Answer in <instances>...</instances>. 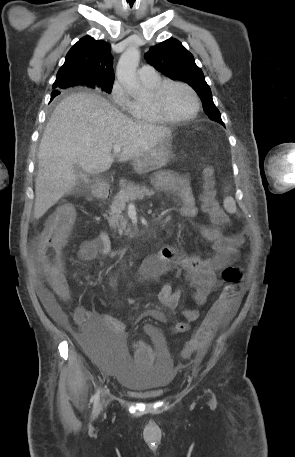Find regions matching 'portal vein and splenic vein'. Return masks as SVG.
<instances>
[{
	"instance_id": "obj_1",
	"label": "portal vein and splenic vein",
	"mask_w": 295,
	"mask_h": 457,
	"mask_svg": "<svg viewBox=\"0 0 295 457\" xmlns=\"http://www.w3.org/2000/svg\"><path fill=\"white\" fill-rule=\"evenodd\" d=\"M113 152L114 154H119L121 152V147L119 145H114Z\"/></svg>"
}]
</instances>
